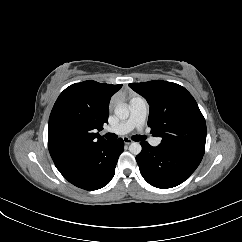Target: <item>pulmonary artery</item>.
<instances>
[{"mask_svg": "<svg viewBox=\"0 0 242 242\" xmlns=\"http://www.w3.org/2000/svg\"><path fill=\"white\" fill-rule=\"evenodd\" d=\"M130 115L126 121H123L113 127L106 130L108 133L116 135H125L132 131L134 128L141 129L146 118L147 107L146 101L141 96L132 98L129 102ZM152 146H158L161 143V138L152 137L150 138Z\"/></svg>", "mask_w": 242, "mask_h": 242, "instance_id": "e3ab8cb5", "label": "pulmonary artery"}]
</instances>
